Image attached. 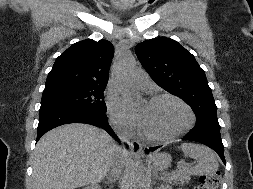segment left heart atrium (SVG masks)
Wrapping results in <instances>:
<instances>
[{
    "mask_svg": "<svg viewBox=\"0 0 253 189\" xmlns=\"http://www.w3.org/2000/svg\"><path fill=\"white\" fill-rule=\"evenodd\" d=\"M125 119L128 123L142 128L145 121V111L141 110L136 114L126 115Z\"/></svg>",
    "mask_w": 253,
    "mask_h": 189,
    "instance_id": "left-heart-atrium-1",
    "label": "left heart atrium"
}]
</instances>
